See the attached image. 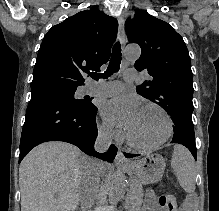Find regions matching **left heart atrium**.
Here are the masks:
<instances>
[{"mask_svg":"<svg viewBox=\"0 0 219 211\" xmlns=\"http://www.w3.org/2000/svg\"><path fill=\"white\" fill-rule=\"evenodd\" d=\"M140 107L133 96H117L106 101L101 108L104 120L113 125L120 126L127 131L136 121Z\"/></svg>","mask_w":219,"mask_h":211,"instance_id":"obj_1","label":"left heart atrium"}]
</instances>
